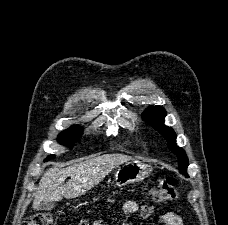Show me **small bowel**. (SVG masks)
Segmentation results:
<instances>
[{
    "label": "small bowel",
    "instance_id": "c3829d8e",
    "mask_svg": "<svg viewBox=\"0 0 228 225\" xmlns=\"http://www.w3.org/2000/svg\"><path fill=\"white\" fill-rule=\"evenodd\" d=\"M139 210L138 204L133 200H128L124 204V212L128 215L137 213ZM154 213L152 203H145V206L141 209V217L144 219L150 218ZM160 225H183V220L180 215L175 212H166L160 215L157 219ZM78 225H90L88 221H80ZM92 225H102L100 219L95 220ZM124 225H131V223H125Z\"/></svg>",
    "mask_w": 228,
    "mask_h": 225
}]
</instances>
